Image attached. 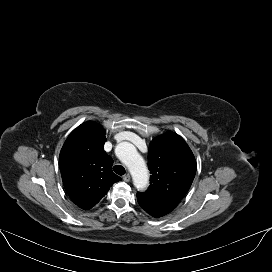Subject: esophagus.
Wrapping results in <instances>:
<instances>
[{
  "mask_svg": "<svg viewBox=\"0 0 272 272\" xmlns=\"http://www.w3.org/2000/svg\"><path fill=\"white\" fill-rule=\"evenodd\" d=\"M130 179H131V176H130V174H128V173H127L126 175L123 176V180H124L125 182H129Z\"/></svg>",
  "mask_w": 272,
  "mask_h": 272,
  "instance_id": "1",
  "label": "esophagus"
}]
</instances>
